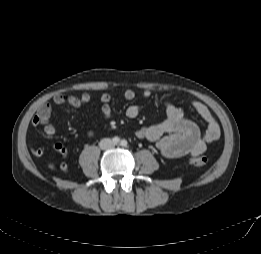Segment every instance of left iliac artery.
<instances>
[{
  "instance_id": "44dca946",
  "label": "left iliac artery",
  "mask_w": 261,
  "mask_h": 254,
  "mask_svg": "<svg viewBox=\"0 0 261 254\" xmlns=\"http://www.w3.org/2000/svg\"><path fill=\"white\" fill-rule=\"evenodd\" d=\"M121 146L126 147L127 146V141L126 140H122L121 141Z\"/></svg>"
}]
</instances>
